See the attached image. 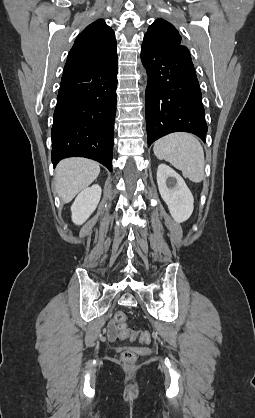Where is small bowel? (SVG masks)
Masks as SVG:
<instances>
[{
	"label": "small bowel",
	"instance_id": "small-bowel-1",
	"mask_svg": "<svg viewBox=\"0 0 255 418\" xmlns=\"http://www.w3.org/2000/svg\"><path fill=\"white\" fill-rule=\"evenodd\" d=\"M116 336H117V329H116L115 325L113 323H111L109 325V328H108V337L110 339H114V338H116Z\"/></svg>",
	"mask_w": 255,
	"mask_h": 418
}]
</instances>
